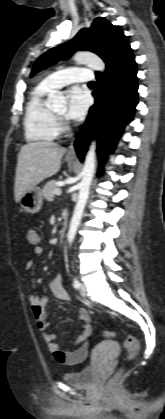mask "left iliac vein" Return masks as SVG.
I'll return each mask as SVG.
<instances>
[{"label":"left iliac vein","mask_w":165,"mask_h":419,"mask_svg":"<svg viewBox=\"0 0 165 419\" xmlns=\"http://www.w3.org/2000/svg\"><path fill=\"white\" fill-rule=\"evenodd\" d=\"M80 294L83 297H86V295H87V288H86V285L85 284H81V286H80Z\"/></svg>","instance_id":"obj_1"}]
</instances>
